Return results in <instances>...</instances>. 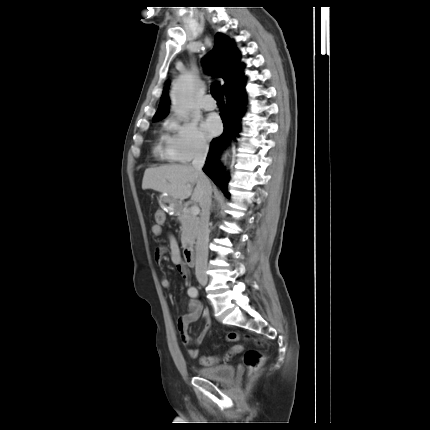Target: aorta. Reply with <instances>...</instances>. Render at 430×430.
Instances as JSON below:
<instances>
[{
	"label": "aorta",
	"instance_id": "obj_1",
	"mask_svg": "<svg viewBox=\"0 0 430 430\" xmlns=\"http://www.w3.org/2000/svg\"><path fill=\"white\" fill-rule=\"evenodd\" d=\"M194 80L192 76L179 77L172 88V109L177 115L186 116L192 106Z\"/></svg>",
	"mask_w": 430,
	"mask_h": 430
}]
</instances>
